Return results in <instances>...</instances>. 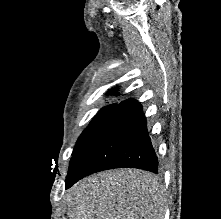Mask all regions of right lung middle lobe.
<instances>
[{
	"mask_svg": "<svg viewBox=\"0 0 221 219\" xmlns=\"http://www.w3.org/2000/svg\"><path fill=\"white\" fill-rule=\"evenodd\" d=\"M116 106V104H111L103 107L98 114L93 118L88 127L83 131L79 137L73 153L84 143V141L89 137L93 130L99 125V123L105 118V116Z\"/></svg>",
	"mask_w": 221,
	"mask_h": 219,
	"instance_id": "1",
	"label": "right lung middle lobe"
}]
</instances>
